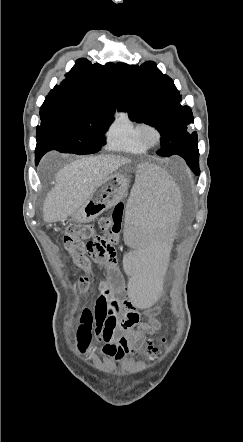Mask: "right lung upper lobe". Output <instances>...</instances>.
Listing matches in <instances>:
<instances>
[{"label": "right lung upper lobe", "mask_w": 243, "mask_h": 442, "mask_svg": "<svg viewBox=\"0 0 243 442\" xmlns=\"http://www.w3.org/2000/svg\"><path fill=\"white\" fill-rule=\"evenodd\" d=\"M65 76L66 79L51 90L45 101L64 105L76 112L107 113L112 119L119 90L114 64H92L80 58Z\"/></svg>", "instance_id": "1"}]
</instances>
